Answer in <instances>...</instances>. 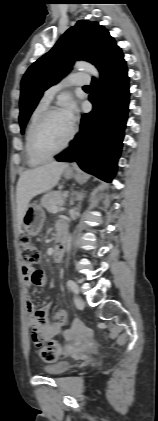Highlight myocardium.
<instances>
[{
  "label": "myocardium",
  "instance_id": "myocardium-1",
  "mask_svg": "<svg viewBox=\"0 0 158 421\" xmlns=\"http://www.w3.org/2000/svg\"><path fill=\"white\" fill-rule=\"evenodd\" d=\"M62 112L59 108L56 107H51V108H47L38 118V120L36 121L35 125L33 126L32 132H31V138H30V145H31V150L32 153L34 154V156L40 160H49L51 158H53L54 156L58 155L59 153H61L62 151H64L70 144V142L72 141L74 134H75V129L72 127L71 131L67 137V139L65 140V142L55 151L50 152V153H45L43 152L39 146H38V136L39 133L43 127V125L45 124V122L47 121V119L55 113H59Z\"/></svg>",
  "mask_w": 158,
  "mask_h": 421
}]
</instances>
